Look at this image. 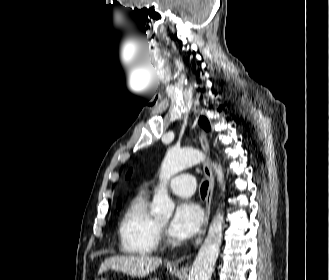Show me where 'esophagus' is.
Here are the masks:
<instances>
[{
    "label": "esophagus",
    "instance_id": "1",
    "mask_svg": "<svg viewBox=\"0 0 329 280\" xmlns=\"http://www.w3.org/2000/svg\"><path fill=\"white\" fill-rule=\"evenodd\" d=\"M199 138H200V143L202 146L203 151L206 154H209V144H208V139L206 136V133L204 131H200L199 133ZM204 173L206 178L208 179L209 185H208V190H207V197H206V206H205V217L203 221V225L198 233V236L194 242V248H198V246L201 244L206 230L208 226V221H209V216H210V206H211V200H212V195H213V189H214V177L212 173V169L210 167L209 161L206 160L204 163ZM185 258H189V256L186 257H181L175 261L176 264L182 262Z\"/></svg>",
    "mask_w": 329,
    "mask_h": 280
}]
</instances>
